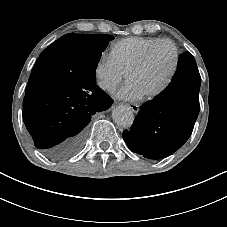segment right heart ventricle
<instances>
[{
    "mask_svg": "<svg viewBox=\"0 0 227 227\" xmlns=\"http://www.w3.org/2000/svg\"><path fill=\"white\" fill-rule=\"evenodd\" d=\"M157 40L159 39L145 37H127L121 39L113 45L110 56L124 73H128L147 47Z\"/></svg>",
    "mask_w": 227,
    "mask_h": 227,
    "instance_id": "e07e8e85",
    "label": "right heart ventricle"
}]
</instances>
